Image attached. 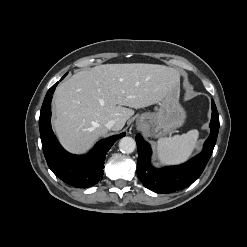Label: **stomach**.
<instances>
[{
  "instance_id": "0dacf381",
  "label": "stomach",
  "mask_w": 247,
  "mask_h": 247,
  "mask_svg": "<svg viewBox=\"0 0 247 247\" xmlns=\"http://www.w3.org/2000/svg\"><path fill=\"white\" fill-rule=\"evenodd\" d=\"M186 113L179 103V88L171 90L154 108V112L141 114L137 119L139 126L147 128L155 137H162L181 127Z\"/></svg>"
}]
</instances>
